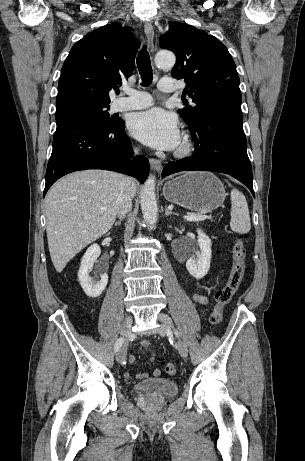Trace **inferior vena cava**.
<instances>
[{"label": "inferior vena cava", "mask_w": 305, "mask_h": 461, "mask_svg": "<svg viewBox=\"0 0 305 461\" xmlns=\"http://www.w3.org/2000/svg\"><path fill=\"white\" fill-rule=\"evenodd\" d=\"M135 152H137L135 150ZM130 179L123 177L120 183V193L117 199V214L119 218H125V215L132 209L133 194L129 188Z\"/></svg>", "instance_id": "inferior-vena-cava-1"}]
</instances>
